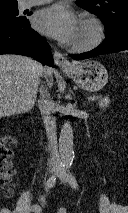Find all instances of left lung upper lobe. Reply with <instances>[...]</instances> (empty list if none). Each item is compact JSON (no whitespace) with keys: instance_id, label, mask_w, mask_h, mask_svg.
Instances as JSON below:
<instances>
[{"instance_id":"1","label":"left lung upper lobe","mask_w":128,"mask_h":213,"mask_svg":"<svg viewBox=\"0 0 128 213\" xmlns=\"http://www.w3.org/2000/svg\"><path fill=\"white\" fill-rule=\"evenodd\" d=\"M76 4L96 14L107 31L128 23V0H77Z\"/></svg>"}]
</instances>
